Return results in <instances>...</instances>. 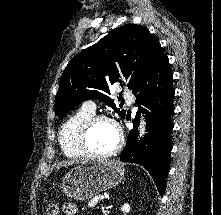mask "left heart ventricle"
<instances>
[{"label": "left heart ventricle", "mask_w": 221, "mask_h": 215, "mask_svg": "<svg viewBox=\"0 0 221 215\" xmlns=\"http://www.w3.org/2000/svg\"><path fill=\"white\" fill-rule=\"evenodd\" d=\"M118 135L115 127L109 122H98L88 136V144L96 153L111 150L117 143Z\"/></svg>", "instance_id": "b2bd125f"}]
</instances>
